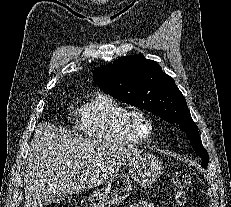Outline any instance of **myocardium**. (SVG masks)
I'll return each mask as SVG.
<instances>
[{
	"instance_id": "f54148a6",
	"label": "myocardium",
	"mask_w": 231,
	"mask_h": 207,
	"mask_svg": "<svg viewBox=\"0 0 231 207\" xmlns=\"http://www.w3.org/2000/svg\"><path fill=\"white\" fill-rule=\"evenodd\" d=\"M142 118L146 121L148 125V131L146 133L142 132L138 125V120ZM126 122L130 132L139 141L149 140L155 131V123L152 115L142 108H133L128 110L126 113Z\"/></svg>"
}]
</instances>
